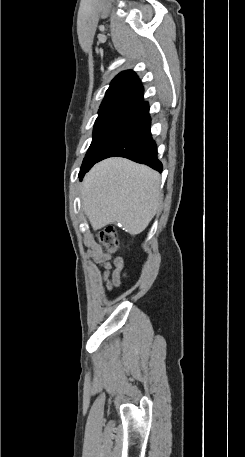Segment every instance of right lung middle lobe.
Returning <instances> with one entry per match:
<instances>
[{"instance_id": "dd1d6c3e", "label": "right lung middle lobe", "mask_w": 245, "mask_h": 457, "mask_svg": "<svg viewBox=\"0 0 245 457\" xmlns=\"http://www.w3.org/2000/svg\"><path fill=\"white\" fill-rule=\"evenodd\" d=\"M128 114L129 112L125 111L99 113L94 125L93 140L79 173L80 177L84 176L96 163L97 158L122 126Z\"/></svg>"}]
</instances>
